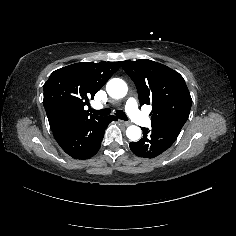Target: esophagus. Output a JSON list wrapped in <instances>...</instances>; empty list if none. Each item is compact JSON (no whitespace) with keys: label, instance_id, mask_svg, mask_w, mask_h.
I'll list each match as a JSON object with an SVG mask.
<instances>
[{"label":"esophagus","instance_id":"1","mask_svg":"<svg viewBox=\"0 0 236 236\" xmlns=\"http://www.w3.org/2000/svg\"><path fill=\"white\" fill-rule=\"evenodd\" d=\"M119 122H121L122 124H124L125 126H129L131 123L128 122V121H122V120H119Z\"/></svg>","mask_w":236,"mask_h":236}]
</instances>
